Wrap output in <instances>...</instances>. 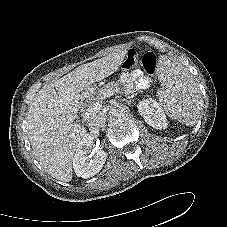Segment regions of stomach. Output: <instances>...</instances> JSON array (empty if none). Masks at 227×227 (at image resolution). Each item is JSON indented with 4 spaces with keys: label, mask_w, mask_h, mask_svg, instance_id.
<instances>
[{
    "label": "stomach",
    "mask_w": 227,
    "mask_h": 227,
    "mask_svg": "<svg viewBox=\"0 0 227 227\" xmlns=\"http://www.w3.org/2000/svg\"><path fill=\"white\" fill-rule=\"evenodd\" d=\"M110 86H111V83H110V81H108V80H105V81H98V82H96V83H94V84H92V85H90V86H88L85 90H84V92H83V96L84 97H86L87 98V93H90V94H93V93H95V92H97V91H99V90H102V89H108V88H110Z\"/></svg>",
    "instance_id": "stomach-1"
}]
</instances>
